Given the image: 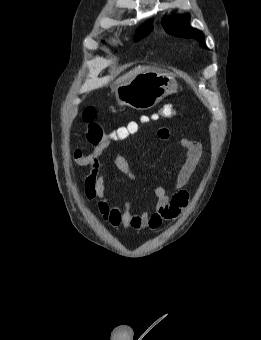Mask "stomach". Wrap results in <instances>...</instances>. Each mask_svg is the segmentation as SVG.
Returning <instances> with one entry per match:
<instances>
[{"instance_id":"obj_1","label":"stomach","mask_w":261,"mask_h":340,"mask_svg":"<svg viewBox=\"0 0 261 340\" xmlns=\"http://www.w3.org/2000/svg\"><path fill=\"white\" fill-rule=\"evenodd\" d=\"M177 88L173 75L150 70L136 75L126 83L116 85L114 91L118 105L147 110L167 95L175 93Z\"/></svg>"}]
</instances>
